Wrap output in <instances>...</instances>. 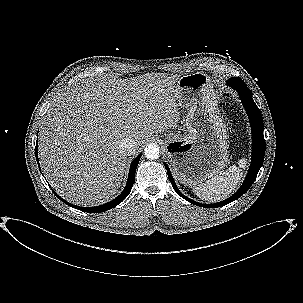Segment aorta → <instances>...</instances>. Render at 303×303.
<instances>
[{
	"mask_svg": "<svg viewBox=\"0 0 303 303\" xmlns=\"http://www.w3.org/2000/svg\"><path fill=\"white\" fill-rule=\"evenodd\" d=\"M145 157L149 160H155L159 158L160 149L155 143L148 144L144 149Z\"/></svg>",
	"mask_w": 303,
	"mask_h": 303,
	"instance_id": "obj_1",
	"label": "aorta"
}]
</instances>
